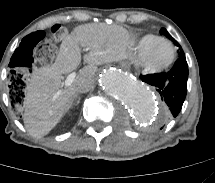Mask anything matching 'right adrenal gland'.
I'll use <instances>...</instances> for the list:
<instances>
[{
    "label": "right adrenal gland",
    "instance_id": "obj_1",
    "mask_svg": "<svg viewBox=\"0 0 215 183\" xmlns=\"http://www.w3.org/2000/svg\"><path fill=\"white\" fill-rule=\"evenodd\" d=\"M80 103V97H78L77 101H76V104H79Z\"/></svg>",
    "mask_w": 215,
    "mask_h": 183
}]
</instances>
